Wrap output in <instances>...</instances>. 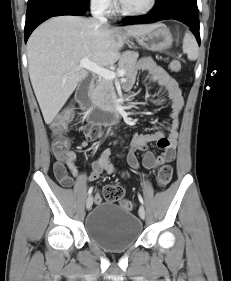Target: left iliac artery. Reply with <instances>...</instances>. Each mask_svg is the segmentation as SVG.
<instances>
[{"mask_svg": "<svg viewBox=\"0 0 231 281\" xmlns=\"http://www.w3.org/2000/svg\"><path fill=\"white\" fill-rule=\"evenodd\" d=\"M138 199L140 201V203L143 205L144 204V201H143V198L140 194H138Z\"/></svg>", "mask_w": 231, "mask_h": 281, "instance_id": "1", "label": "left iliac artery"}]
</instances>
